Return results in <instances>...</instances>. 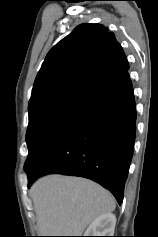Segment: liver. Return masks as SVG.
<instances>
[{"label": "liver", "instance_id": "6515ba94", "mask_svg": "<svg viewBox=\"0 0 158 237\" xmlns=\"http://www.w3.org/2000/svg\"><path fill=\"white\" fill-rule=\"evenodd\" d=\"M39 236H81L100 215L115 210L111 193L90 180L49 175L30 189Z\"/></svg>", "mask_w": 158, "mask_h": 237}]
</instances>
